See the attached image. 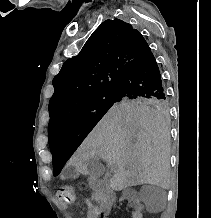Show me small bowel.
Returning a JSON list of instances; mask_svg holds the SVG:
<instances>
[{
  "label": "small bowel",
  "instance_id": "1",
  "mask_svg": "<svg viewBox=\"0 0 211 218\" xmlns=\"http://www.w3.org/2000/svg\"><path fill=\"white\" fill-rule=\"evenodd\" d=\"M99 213H100V211H99V209H98L97 207L91 206V207L87 210L86 215H85V218H98ZM133 216H134L135 218H141L142 214H141V212H139V211H135V212L133 213Z\"/></svg>",
  "mask_w": 211,
  "mask_h": 218
}]
</instances>
